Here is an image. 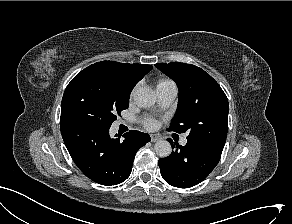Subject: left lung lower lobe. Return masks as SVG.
Returning <instances> with one entry per match:
<instances>
[{"instance_id": "left-lung-lower-lobe-1", "label": "left lung lower lobe", "mask_w": 292, "mask_h": 224, "mask_svg": "<svg viewBox=\"0 0 292 224\" xmlns=\"http://www.w3.org/2000/svg\"><path fill=\"white\" fill-rule=\"evenodd\" d=\"M174 151L158 161L163 179L174 187L188 188L203 181L218 164L222 151L187 140L185 146L167 139Z\"/></svg>"}]
</instances>
